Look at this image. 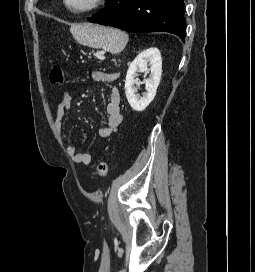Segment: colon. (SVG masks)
Here are the masks:
<instances>
[{
    "label": "colon",
    "mask_w": 255,
    "mask_h": 272,
    "mask_svg": "<svg viewBox=\"0 0 255 272\" xmlns=\"http://www.w3.org/2000/svg\"><path fill=\"white\" fill-rule=\"evenodd\" d=\"M49 79L52 84L62 85L64 83V73L63 69L60 65L55 64L52 66ZM96 173L99 177H106L108 174V164L105 160H101L98 162L96 167Z\"/></svg>",
    "instance_id": "5ec220e1"
}]
</instances>
